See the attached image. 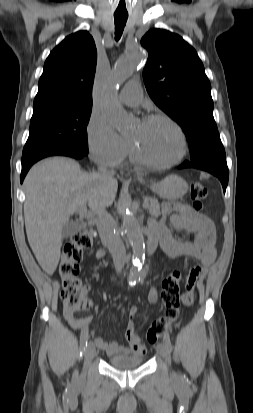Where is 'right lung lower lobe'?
<instances>
[{
	"instance_id": "obj_1",
	"label": "right lung lower lobe",
	"mask_w": 253,
	"mask_h": 413,
	"mask_svg": "<svg viewBox=\"0 0 253 413\" xmlns=\"http://www.w3.org/2000/svg\"><path fill=\"white\" fill-rule=\"evenodd\" d=\"M54 155L69 156V157H73L76 159H81L87 154L80 152V151H75V150H61V151H57V152H53L49 154H44V155H39V156L24 159L22 160V172H21V178H20L21 183L23 182L28 170L35 162L45 157L54 156Z\"/></svg>"
}]
</instances>
